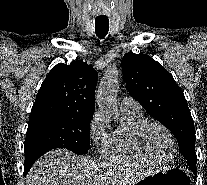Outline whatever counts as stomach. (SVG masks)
Wrapping results in <instances>:
<instances>
[{
	"label": "stomach",
	"mask_w": 207,
	"mask_h": 185,
	"mask_svg": "<svg viewBox=\"0 0 207 185\" xmlns=\"http://www.w3.org/2000/svg\"><path fill=\"white\" fill-rule=\"evenodd\" d=\"M137 185H190V178L182 168L172 167L148 175L139 180Z\"/></svg>",
	"instance_id": "obj_1"
}]
</instances>
